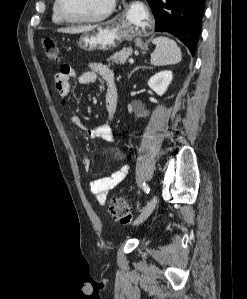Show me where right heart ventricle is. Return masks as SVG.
<instances>
[{"instance_id":"right-heart-ventricle-1","label":"right heart ventricle","mask_w":247,"mask_h":299,"mask_svg":"<svg viewBox=\"0 0 247 299\" xmlns=\"http://www.w3.org/2000/svg\"><path fill=\"white\" fill-rule=\"evenodd\" d=\"M51 19H52V22L57 25H62L65 23V21L58 14L57 7H56V0H54L53 5H52Z\"/></svg>"}]
</instances>
